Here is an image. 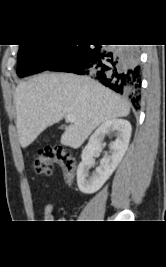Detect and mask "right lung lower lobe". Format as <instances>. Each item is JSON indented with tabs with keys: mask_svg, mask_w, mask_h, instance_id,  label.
<instances>
[{
	"mask_svg": "<svg viewBox=\"0 0 166 267\" xmlns=\"http://www.w3.org/2000/svg\"><path fill=\"white\" fill-rule=\"evenodd\" d=\"M88 75L113 91L139 102L141 70L134 47L106 49L101 45H69L47 69Z\"/></svg>",
	"mask_w": 166,
	"mask_h": 267,
	"instance_id": "98d812e1",
	"label": "right lung lower lobe"
}]
</instances>
